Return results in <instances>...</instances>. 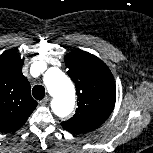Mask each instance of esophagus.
I'll use <instances>...</instances> for the list:
<instances>
[{
	"label": "esophagus",
	"mask_w": 153,
	"mask_h": 153,
	"mask_svg": "<svg viewBox=\"0 0 153 153\" xmlns=\"http://www.w3.org/2000/svg\"><path fill=\"white\" fill-rule=\"evenodd\" d=\"M49 97L48 96H46L43 100H41L40 102H39V104L40 105H46L47 103H48V101H49Z\"/></svg>",
	"instance_id": "1"
}]
</instances>
